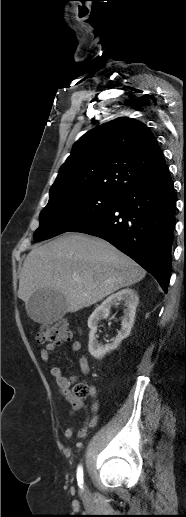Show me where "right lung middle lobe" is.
<instances>
[{"mask_svg":"<svg viewBox=\"0 0 186 517\" xmlns=\"http://www.w3.org/2000/svg\"><path fill=\"white\" fill-rule=\"evenodd\" d=\"M120 195L77 193L50 199L40 213L35 241L65 233L111 208Z\"/></svg>","mask_w":186,"mask_h":517,"instance_id":"dd1d6c3e","label":"right lung middle lobe"}]
</instances>
